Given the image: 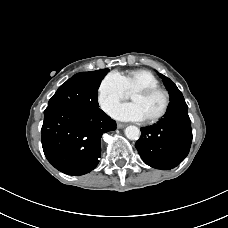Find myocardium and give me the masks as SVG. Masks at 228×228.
Here are the masks:
<instances>
[{
	"mask_svg": "<svg viewBox=\"0 0 228 228\" xmlns=\"http://www.w3.org/2000/svg\"><path fill=\"white\" fill-rule=\"evenodd\" d=\"M133 94H140L143 96H151L154 94H159L163 98V107L161 111L155 116L146 119L147 123L149 124L156 123L167 114L170 107L171 98H170V94L165 89H162L160 87H142L133 91Z\"/></svg>",
	"mask_w": 228,
	"mask_h": 228,
	"instance_id": "myocardium-1",
	"label": "myocardium"
}]
</instances>
